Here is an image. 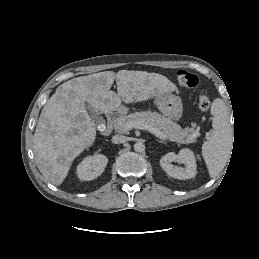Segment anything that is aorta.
Returning <instances> with one entry per match:
<instances>
[{
	"instance_id": "aorta-1",
	"label": "aorta",
	"mask_w": 259,
	"mask_h": 259,
	"mask_svg": "<svg viewBox=\"0 0 259 259\" xmlns=\"http://www.w3.org/2000/svg\"><path fill=\"white\" fill-rule=\"evenodd\" d=\"M134 150L136 152H143L145 150V145L141 142H137L134 144Z\"/></svg>"
}]
</instances>
